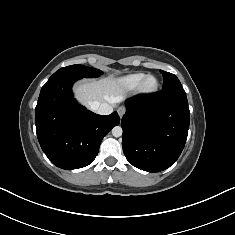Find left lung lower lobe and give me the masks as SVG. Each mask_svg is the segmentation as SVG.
I'll use <instances>...</instances> for the list:
<instances>
[{
	"mask_svg": "<svg viewBox=\"0 0 235 235\" xmlns=\"http://www.w3.org/2000/svg\"><path fill=\"white\" fill-rule=\"evenodd\" d=\"M121 120L122 146L136 168L159 172L180 156L187 139L190 112L182 87L126 100Z\"/></svg>",
	"mask_w": 235,
	"mask_h": 235,
	"instance_id": "1",
	"label": "left lung lower lobe"
}]
</instances>
